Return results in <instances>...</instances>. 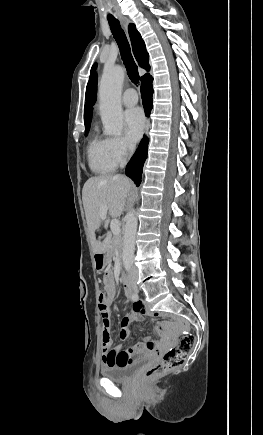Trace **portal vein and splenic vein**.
Here are the masks:
<instances>
[{"label": "portal vein and splenic vein", "mask_w": 263, "mask_h": 435, "mask_svg": "<svg viewBox=\"0 0 263 435\" xmlns=\"http://www.w3.org/2000/svg\"><path fill=\"white\" fill-rule=\"evenodd\" d=\"M100 211H101L102 219H105L107 211H108V206L106 204L102 205ZM110 227H111L113 234L120 233V224H119V221L117 219L111 220Z\"/></svg>", "instance_id": "portal-vein-and-splenic-vein-1"}]
</instances>
